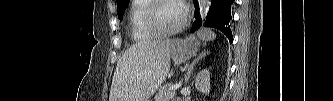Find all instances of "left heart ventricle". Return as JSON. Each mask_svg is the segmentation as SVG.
<instances>
[{"mask_svg":"<svg viewBox=\"0 0 333 101\" xmlns=\"http://www.w3.org/2000/svg\"><path fill=\"white\" fill-rule=\"evenodd\" d=\"M183 9L175 2L162 4L157 11V19L164 30L175 28L183 18Z\"/></svg>","mask_w":333,"mask_h":101,"instance_id":"b2bd125f","label":"left heart ventricle"}]
</instances>
